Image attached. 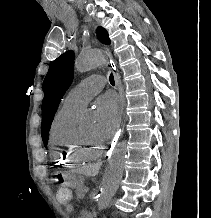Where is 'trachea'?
I'll use <instances>...</instances> for the list:
<instances>
[{
  "mask_svg": "<svg viewBox=\"0 0 211 218\" xmlns=\"http://www.w3.org/2000/svg\"><path fill=\"white\" fill-rule=\"evenodd\" d=\"M109 81H110L111 85H113V86L115 85V80H114V76L112 73L109 76Z\"/></svg>",
  "mask_w": 211,
  "mask_h": 218,
  "instance_id": "1",
  "label": "trachea"
}]
</instances>
